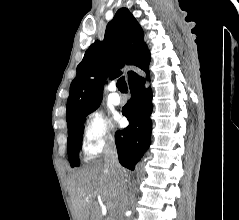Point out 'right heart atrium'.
<instances>
[{
  "mask_svg": "<svg viewBox=\"0 0 239 220\" xmlns=\"http://www.w3.org/2000/svg\"><path fill=\"white\" fill-rule=\"evenodd\" d=\"M114 136L106 115L95 109L88 113L83 122L82 149L88 158H95L113 146Z\"/></svg>",
  "mask_w": 239,
  "mask_h": 220,
  "instance_id": "d8ad5b80",
  "label": "right heart atrium"
}]
</instances>
